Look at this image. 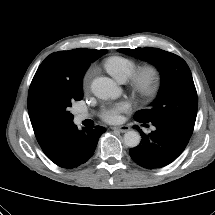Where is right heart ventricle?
<instances>
[{"instance_id": "obj_1", "label": "right heart ventricle", "mask_w": 215, "mask_h": 215, "mask_svg": "<svg viewBox=\"0 0 215 215\" xmlns=\"http://www.w3.org/2000/svg\"><path fill=\"white\" fill-rule=\"evenodd\" d=\"M103 65L106 71L119 82L128 80L137 68L134 59L119 55L108 57Z\"/></svg>"}]
</instances>
